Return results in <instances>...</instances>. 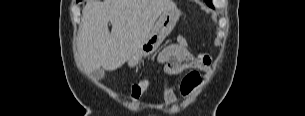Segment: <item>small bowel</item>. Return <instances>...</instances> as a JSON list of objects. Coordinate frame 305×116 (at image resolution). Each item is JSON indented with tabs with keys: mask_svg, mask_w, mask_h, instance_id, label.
<instances>
[{
	"mask_svg": "<svg viewBox=\"0 0 305 116\" xmlns=\"http://www.w3.org/2000/svg\"><path fill=\"white\" fill-rule=\"evenodd\" d=\"M157 61L163 65L166 74L163 82L165 101L173 105L177 101V96L174 92L172 77L187 69L197 73L195 79L187 78L186 75L180 83V94L183 97H189L202 82V76L198 71L207 70L210 66L211 58L207 54L193 55L188 48L187 42H178V44H171L163 49Z\"/></svg>",
	"mask_w": 305,
	"mask_h": 116,
	"instance_id": "c3829d8e",
	"label": "small bowel"
}]
</instances>
